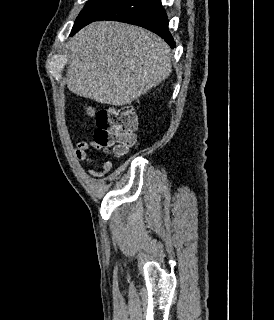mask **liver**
Wrapping results in <instances>:
<instances>
[{
    "label": "liver",
    "instance_id": "obj_1",
    "mask_svg": "<svg viewBox=\"0 0 274 320\" xmlns=\"http://www.w3.org/2000/svg\"><path fill=\"white\" fill-rule=\"evenodd\" d=\"M69 46L70 92L99 104H131L172 72L168 44L137 26L93 22L73 36Z\"/></svg>",
    "mask_w": 274,
    "mask_h": 320
}]
</instances>
